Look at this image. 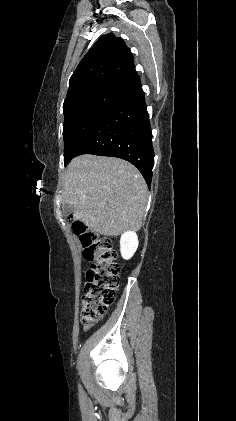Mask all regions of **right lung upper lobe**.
Instances as JSON below:
<instances>
[{"mask_svg": "<svg viewBox=\"0 0 236 421\" xmlns=\"http://www.w3.org/2000/svg\"><path fill=\"white\" fill-rule=\"evenodd\" d=\"M134 74L132 53L125 42L112 33L105 34L78 64L69 80L66 99L90 89L121 86Z\"/></svg>", "mask_w": 236, "mask_h": 421, "instance_id": "obj_1", "label": "right lung upper lobe"}]
</instances>
